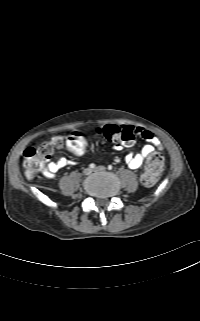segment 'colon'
Listing matches in <instances>:
<instances>
[{"label": "colon", "mask_w": 200, "mask_h": 321, "mask_svg": "<svg viewBox=\"0 0 200 321\" xmlns=\"http://www.w3.org/2000/svg\"><path fill=\"white\" fill-rule=\"evenodd\" d=\"M98 134H102L108 141L120 143L124 146H132L135 143L138 132L131 126L105 125L96 129ZM67 147L73 154L84 155L85 141L80 132H73L67 137ZM53 152L50 143L40 147H29L23 153L24 168L26 174L31 177L46 163ZM163 158L158 153H152L147 160L144 171L141 175V182L145 186H153L157 183L162 170Z\"/></svg>", "instance_id": "1"}]
</instances>
